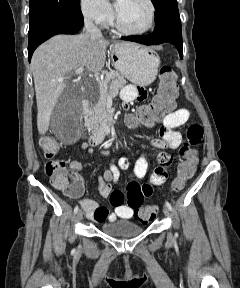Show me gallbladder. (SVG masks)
I'll use <instances>...</instances> for the list:
<instances>
[{
	"mask_svg": "<svg viewBox=\"0 0 240 288\" xmlns=\"http://www.w3.org/2000/svg\"><path fill=\"white\" fill-rule=\"evenodd\" d=\"M79 110V96L76 92L71 91V87L68 86L59 97V100L52 111L50 121L51 123H54L55 121L63 120Z\"/></svg>",
	"mask_w": 240,
	"mask_h": 288,
	"instance_id": "obj_1",
	"label": "gallbladder"
}]
</instances>
